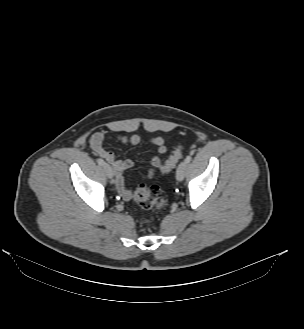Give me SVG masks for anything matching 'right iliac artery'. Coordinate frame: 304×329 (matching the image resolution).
Wrapping results in <instances>:
<instances>
[{
    "mask_svg": "<svg viewBox=\"0 0 304 329\" xmlns=\"http://www.w3.org/2000/svg\"><path fill=\"white\" fill-rule=\"evenodd\" d=\"M97 162L99 165H104V161L101 158L97 159Z\"/></svg>",
    "mask_w": 304,
    "mask_h": 329,
    "instance_id": "1",
    "label": "right iliac artery"
}]
</instances>
